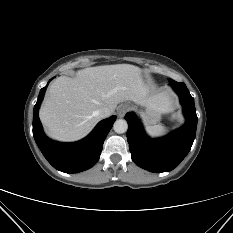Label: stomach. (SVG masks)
I'll list each match as a JSON object with an SVG mask.
<instances>
[{
    "mask_svg": "<svg viewBox=\"0 0 233 233\" xmlns=\"http://www.w3.org/2000/svg\"><path fill=\"white\" fill-rule=\"evenodd\" d=\"M140 115L147 125H155L161 119L160 111L152 104H142ZM133 108V107H132Z\"/></svg>",
    "mask_w": 233,
    "mask_h": 233,
    "instance_id": "0dacf381",
    "label": "stomach"
}]
</instances>
